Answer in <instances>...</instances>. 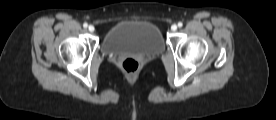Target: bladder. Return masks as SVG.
<instances>
[{
    "instance_id": "bladder-1",
    "label": "bladder",
    "mask_w": 276,
    "mask_h": 120,
    "mask_svg": "<svg viewBox=\"0 0 276 120\" xmlns=\"http://www.w3.org/2000/svg\"><path fill=\"white\" fill-rule=\"evenodd\" d=\"M101 49L106 55L161 54L165 41L158 26L140 20H122L112 25L105 33Z\"/></svg>"
}]
</instances>
